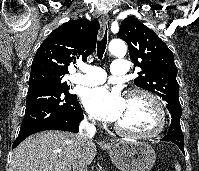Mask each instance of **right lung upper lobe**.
<instances>
[{
    "label": "right lung upper lobe",
    "instance_id": "cb5924a9",
    "mask_svg": "<svg viewBox=\"0 0 199 171\" xmlns=\"http://www.w3.org/2000/svg\"><path fill=\"white\" fill-rule=\"evenodd\" d=\"M100 28L96 20H71L55 29L37 50L30 76L54 75L64 77L68 66L81 57L86 60L96 47Z\"/></svg>",
    "mask_w": 199,
    "mask_h": 171
}]
</instances>
